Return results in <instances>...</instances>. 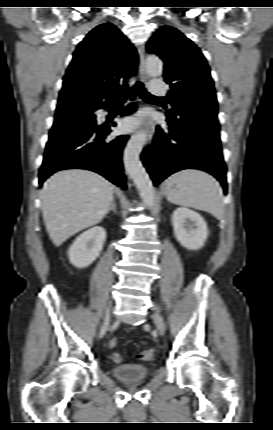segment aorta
<instances>
[{"mask_svg":"<svg viewBox=\"0 0 273 430\" xmlns=\"http://www.w3.org/2000/svg\"><path fill=\"white\" fill-rule=\"evenodd\" d=\"M146 67L148 73L153 77L160 76L163 72V63L161 59L155 55H151L146 58ZM146 139L147 136L144 130H140L135 133L129 139L125 147L123 160L125 164V170L130 178L133 179L141 199L146 204V206L152 209L155 205L156 199L155 189L146 169L139 158Z\"/></svg>","mask_w":273,"mask_h":430,"instance_id":"aorta-1","label":"aorta"}]
</instances>
